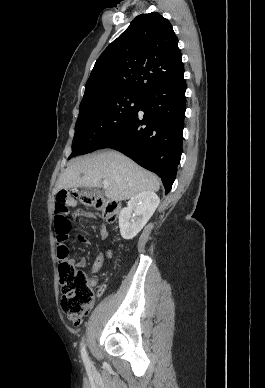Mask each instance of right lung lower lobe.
Listing matches in <instances>:
<instances>
[{"instance_id":"obj_1","label":"right lung lower lobe","mask_w":265,"mask_h":388,"mask_svg":"<svg viewBox=\"0 0 265 388\" xmlns=\"http://www.w3.org/2000/svg\"><path fill=\"white\" fill-rule=\"evenodd\" d=\"M184 77L158 84L146 91L138 109L99 149L118 150L162 178L167 194L182 154L186 109Z\"/></svg>"}]
</instances>
